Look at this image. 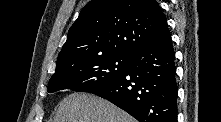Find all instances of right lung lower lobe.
Here are the masks:
<instances>
[{"label": "right lung lower lobe", "mask_w": 221, "mask_h": 122, "mask_svg": "<svg viewBox=\"0 0 221 122\" xmlns=\"http://www.w3.org/2000/svg\"><path fill=\"white\" fill-rule=\"evenodd\" d=\"M175 54L166 27L137 51L119 77L91 93L114 103L139 122H176Z\"/></svg>", "instance_id": "1"}]
</instances>
